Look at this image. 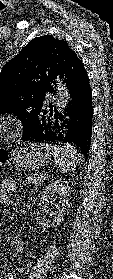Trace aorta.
Returning <instances> with one entry per match:
<instances>
[{"label":"aorta","mask_w":113,"mask_h":279,"mask_svg":"<svg viewBox=\"0 0 113 279\" xmlns=\"http://www.w3.org/2000/svg\"><path fill=\"white\" fill-rule=\"evenodd\" d=\"M57 84H58V89H57L56 107L59 112H63L70 100V93L66 85L63 83V80H61L59 77L57 78Z\"/></svg>","instance_id":"obj_1"}]
</instances>
